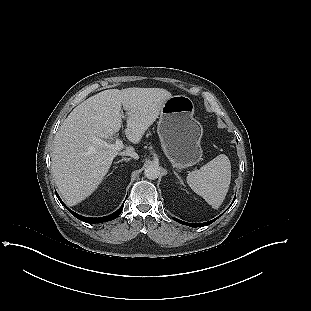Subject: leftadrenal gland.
Masks as SVG:
<instances>
[{"instance_id": "left-adrenal-gland-1", "label": "left adrenal gland", "mask_w": 311, "mask_h": 311, "mask_svg": "<svg viewBox=\"0 0 311 311\" xmlns=\"http://www.w3.org/2000/svg\"><path fill=\"white\" fill-rule=\"evenodd\" d=\"M174 174H175V175H176V177L180 180V182H182V180H181L180 176H179L176 172H174Z\"/></svg>"}]
</instances>
